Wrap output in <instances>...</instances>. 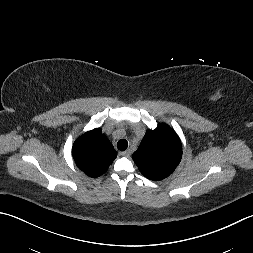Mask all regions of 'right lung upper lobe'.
Masks as SVG:
<instances>
[{
    "instance_id": "right-lung-upper-lobe-1",
    "label": "right lung upper lobe",
    "mask_w": 253,
    "mask_h": 253,
    "mask_svg": "<svg viewBox=\"0 0 253 253\" xmlns=\"http://www.w3.org/2000/svg\"><path fill=\"white\" fill-rule=\"evenodd\" d=\"M72 155L77 167L95 178L106 172L117 152L102 130L96 128L76 139Z\"/></svg>"
}]
</instances>
